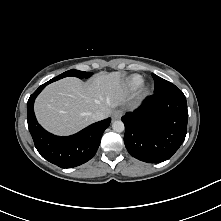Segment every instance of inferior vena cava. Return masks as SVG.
<instances>
[{"instance_id": "1", "label": "inferior vena cava", "mask_w": 221, "mask_h": 221, "mask_svg": "<svg viewBox=\"0 0 221 221\" xmlns=\"http://www.w3.org/2000/svg\"><path fill=\"white\" fill-rule=\"evenodd\" d=\"M91 116L94 121L103 120L107 117L106 113L102 111H96Z\"/></svg>"}]
</instances>
